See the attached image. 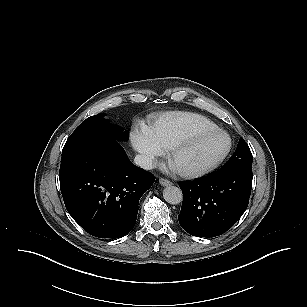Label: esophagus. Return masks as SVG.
Listing matches in <instances>:
<instances>
[{
	"mask_svg": "<svg viewBox=\"0 0 307 307\" xmlns=\"http://www.w3.org/2000/svg\"><path fill=\"white\" fill-rule=\"evenodd\" d=\"M159 183L162 185V186H170L172 185V182L167 180V179H164V178H160L159 179Z\"/></svg>",
	"mask_w": 307,
	"mask_h": 307,
	"instance_id": "1",
	"label": "esophagus"
}]
</instances>
